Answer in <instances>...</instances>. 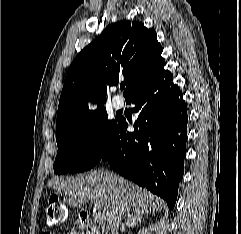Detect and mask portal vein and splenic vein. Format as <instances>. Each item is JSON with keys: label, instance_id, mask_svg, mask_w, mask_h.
I'll return each mask as SVG.
<instances>
[{"label": "portal vein and splenic vein", "instance_id": "portal-vein-and-splenic-vein-1", "mask_svg": "<svg viewBox=\"0 0 241 234\" xmlns=\"http://www.w3.org/2000/svg\"><path fill=\"white\" fill-rule=\"evenodd\" d=\"M94 206H95V209H96V210H99L100 207H101L98 203H94ZM95 221H96L98 224L103 223V217H102L101 213H96V215H95Z\"/></svg>", "mask_w": 241, "mask_h": 234}]
</instances>
